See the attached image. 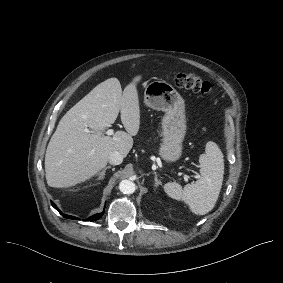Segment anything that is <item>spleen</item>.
<instances>
[{"label":"spleen","instance_id":"spleen-1","mask_svg":"<svg viewBox=\"0 0 283 283\" xmlns=\"http://www.w3.org/2000/svg\"><path fill=\"white\" fill-rule=\"evenodd\" d=\"M200 178L184 189L176 182L164 185L166 194L176 200H183L197 215H205L213 209L218 199L224 175L223 154L216 143L206 144L205 154L199 157Z\"/></svg>","mask_w":283,"mask_h":283}]
</instances>
